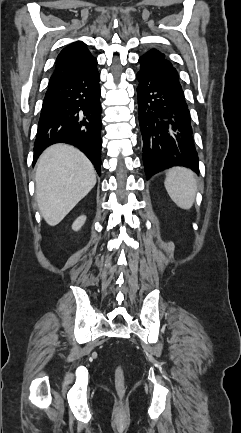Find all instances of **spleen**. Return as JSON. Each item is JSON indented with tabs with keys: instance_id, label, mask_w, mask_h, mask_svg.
Wrapping results in <instances>:
<instances>
[{
	"instance_id": "3e777b00",
	"label": "spleen",
	"mask_w": 241,
	"mask_h": 433,
	"mask_svg": "<svg viewBox=\"0 0 241 433\" xmlns=\"http://www.w3.org/2000/svg\"><path fill=\"white\" fill-rule=\"evenodd\" d=\"M172 201L181 209L189 210L195 201L197 182L194 173L184 167L171 168L164 182Z\"/></svg>"
}]
</instances>
